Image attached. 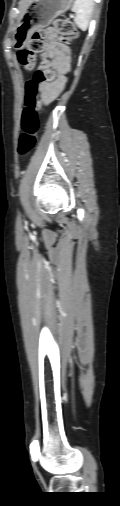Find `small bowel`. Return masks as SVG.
Wrapping results in <instances>:
<instances>
[{"mask_svg": "<svg viewBox=\"0 0 120 506\" xmlns=\"http://www.w3.org/2000/svg\"><path fill=\"white\" fill-rule=\"evenodd\" d=\"M45 32V39L49 47L55 48L57 58L51 63L61 75L53 82H45L41 84L40 89L42 92V101L44 104H49L54 101L63 91L66 84V77L64 74L69 70L70 66V51L68 47L56 41L57 34L54 29H48ZM50 65V62L44 61L43 67Z\"/></svg>", "mask_w": 120, "mask_h": 506, "instance_id": "c3829d8e", "label": "small bowel"}]
</instances>
